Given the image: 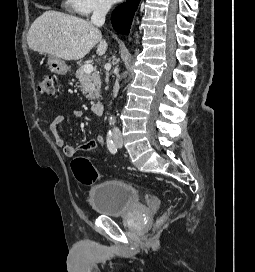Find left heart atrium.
<instances>
[{"label":"left heart atrium","mask_w":255,"mask_h":272,"mask_svg":"<svg viewBox=\"0 0 255 272\" xmlns=\"http://www.w3.org/2000/svg\"><path fill=\"white\" fill-rule=\"evenodd\" d=\"M112 1L116 2V1H120V0H112Z\"/></svg>","instance_id":"39dd6f15"}]
</instances>
